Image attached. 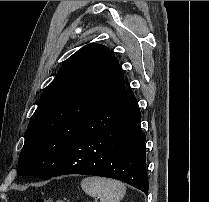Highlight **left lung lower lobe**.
Returning <instances> with one entry per match:
<instances>
[{
	"mask_svg": "<svg viewBox=\"0 0 209 202\" xmlns=\"http://www.w3.org/2000/svg\"><path fill=\"white\" fill-rule=\"evenodd\" d=\"M131 90L95 111L73 139L51 177L84 174L121 180L148 193L146 136Z\"/></svg>",
	"mask_w": 209,
	"mask_h": 202,
	"instance_id": "0a47b994",
	"label": "left lung lower lobe"
}]
</instances>
